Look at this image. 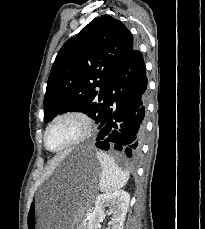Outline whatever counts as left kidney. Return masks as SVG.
Listing matches in <instances>:
<instances>
[{
	"mask_svg": "<svg viewBox=\"0 0 205 229\" xmlns=\"http://www.w3.org/2000/svg\"><path fill=\"white\" fill-rule=\"evenodd\" d=\"M130 195L124 190L100 194L95 201V208L88 215L87 229H99L100 222L105 216V207H110L112 213L109 229H123L125 217L128 211Z\"/></svg>",
	"mask_w": 205,
	"mask_h": 229,
	"instance_id": "5707ae66",
	"label": "left kidney"
}]
</instances>
